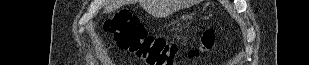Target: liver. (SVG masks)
I'll return each instance as SVG.
<instances>
[{
    "label": "liver",
    "mask_w": 309,
    "mask_h": 65,
    "mask_svg": "<svg viewBox=\"0 0 309 65\" xmlns=\"http://www.w3.org/2000/svg\"><path fill=\"white\" fill-rule=\"evenodd\" d=\"M123 0H111L106 5L104 12L105 13H111L115 10H117L120 6L123 4ZM142 6L150 13H153L155 9H158L159 6H161V2L158 0H143Z\"/></svg>",
    "instance_id": "liver-1"
}]
</instances>
